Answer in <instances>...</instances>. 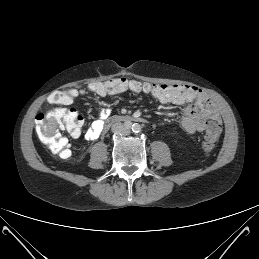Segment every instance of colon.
<instances>
[{
  "mask_svg": "<svg viewBox=\"0 0 259 259\" xmlns=\"http://www.w3.org/2000/svg\"><path fill=\"white\" fill-rule=\"evenodd\" d=\"M88 89L99 95L118 94L126 91L145 93L154 96L163 103L195 101L200 96L199 89L193 85L155 84L124 77L95 81L88 85ZM76 96L77 92L71 89L52 92L48 98L49 102L61 108L39 113L35 119L39 138L46 144L52 154L61 158L69 157L71 151L69 140L60 134L58 128L66 129L73 137L81 132V115L73 109L66 108L74 101ZM48 121H52L56 127L48 128ZM219 135L220 127L216 123H210L204 134V147L207 152L212 150Z\"/></svg>",
  "mask_w": 259,
  "mask_h": 259,
  "instance_id": "1",
  "label": "colon"
}]
</instances>
